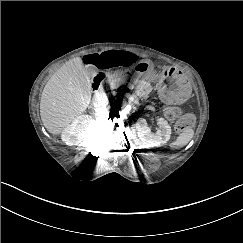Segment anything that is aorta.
<instances>
[{"label": "aorta", "instance_id": "1", "mask_svg": "<svg viewBox=\"0 0 243 243\" xmlns=\"http://www.w3.org/2000/svg\"><path fill=\"white\" fill-rule=\"evenodd\" d=\"M113 104H114V106L117 107V108H123V107H125L126 104H127V99H126V97L123 96V95H117V96H115L114 99H113Z\"/></svg>", "mask_w": 243, "mask_h": 243}]
</instances>
